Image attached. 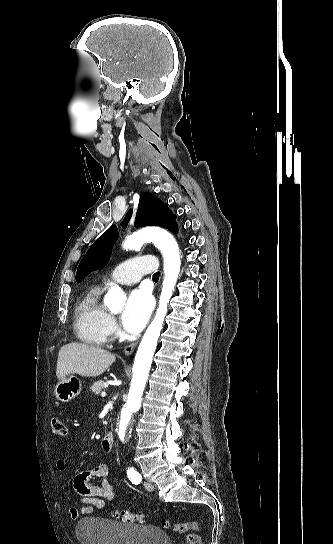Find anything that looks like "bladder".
Segmentation results:
<instances>
[{"label": "bladder", "instance_id": "1", "mask_svg": "<svg viewBox=\"0 0 333 544\" xmlns=\"http://www.w3.org/2000/svg\"><path fill=\"white\" fill-rule=\"evenodd\" d=\"M80 544H170L169 536L152 525H132L99 517L80 520L75 529Z\"/></svg>", "mask_w": 333, "mask_h": 544}]
</instances>
